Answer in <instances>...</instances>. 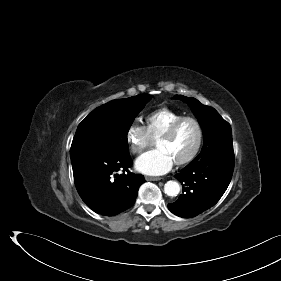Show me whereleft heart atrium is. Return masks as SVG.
<instances>
[{"label": "left heart atrium", "mask_w": 281, "mask_h": 281, "mask_svg": "<svg viewBox=\"0 0 281 281\" xmlns=\"http://www.w3.org/2000/svg\"><path fill=\"white\" fill-rule=\"evenodd\" d=\"M172 157L162 149L148 151L137 158L136 169L146 175L158 176L169 172L173 165Z\"/></svg>", "instance_id": "left-heart-atrium-1"}]
</instances>
